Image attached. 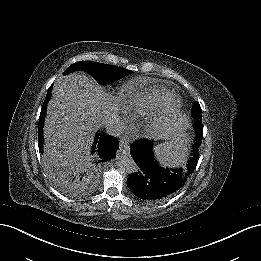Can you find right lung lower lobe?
<instances>
[{
    "mask_svg": "<svg viewBox=\"0 0 261 261\" xmlns=\"http://www.w3.org/2000/svg\"><path fill=\"white\" fill-rule=\"evenodd\" d=\"M52 85L48 89L44 104L41 109L40 117H39V128H38V144L40 150H42V128H43V120L46 114V105L48 100L51 97ZM119 147L118 139L110 136L108 134H97L95 137L94 147L92 149V153L95 152L97 156V163L99 165L103 164L106 161H109L114 157L117 149Z\"/></svg>",
    "mask_w": 261,
    "mask_h": 261,
    "instance_id": "obj_1",
    "label": "right lung lower lobe"
}]
</instances>
